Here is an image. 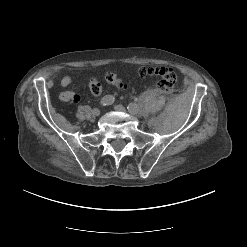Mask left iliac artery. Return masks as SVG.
Masks as SVG:
<instances>
[{
    "label": "left iliac artery",
    "mask_w": 247,
    "mask_h": 247,
    "mask_svg": "<svg viewBox=\"0 0 247 247\" xmlns=\"http://www.w3.org/2000/svg\"><path fill=\"white\" fill-rule=\"evenodd\" d=\"M127 109L132 116H137L139 114V109L137 108V104H130L127 107Z\"/></svg>",
    "instance_id": "44dca946"
}]
</instances>
